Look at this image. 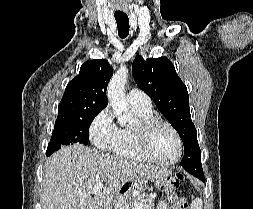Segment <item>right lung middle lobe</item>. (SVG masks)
<instances>
[{
  "instance_id": "obj_1",
  "label": "right lung middle lobe",
  "mask_w": 253,
  "mask_h": 209,
  "mask_svg": "<svg viewBox=\"0 0 253 209\" xmlns=\"http://www.w3.org/2000/svg\"><path fill=\"white\" fill-rule=\"evenodd\" d=\"M99 112L100 111H95L62 121H56L46 155L50 156L55 151L59 150L62 145L74 143L88 144L89 126Z\"/></svg>"
}]
</instances>
